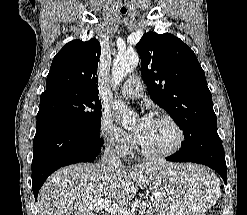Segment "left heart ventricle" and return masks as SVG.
<instances>
[{
    "mask_svg": "<svg viewBox=\"0 0 247 215\" xmlns=\"http://www.w3.org/2000/svg\"><path fill=\"white\" fill-rule=\"evenodd\" d=\"M138 125L136 126L137 132ZM139 142L151 152L167 151L177 141V134L166 121L152 118L150 123L140 132L136 133Z\"/></svg>",
    "mask_w": 247,
    "mask_h": 215,
    "instance_id": "left-heart-ventricle-1",
    "label": "left heart ventricle"
}]
</instances>
